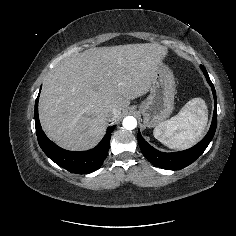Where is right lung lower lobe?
<instances>
[{"instance_id": "1", "label": "right lung lower lobe", "mask_w": 236, "mask_h": 236, "mask_svg": "<svg viewBox=\"0 0 236 236\" xmlns=\"http://www.w3.org/2000/svg\"><path fill=\"white\" fill-rule=\"evenodd\" d=\"M38 98L35 102L36 135L41 149L56 164L71 173L88 174L97 170L107 157L111 133L115 126L109 127L103 140L88 151L73 152L60 148L47 138L40 125L38 116Z\"/></svg>"}]
</instances>
